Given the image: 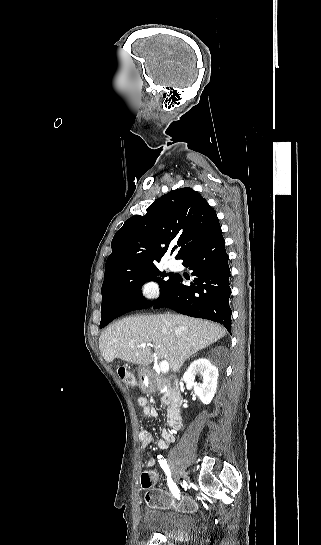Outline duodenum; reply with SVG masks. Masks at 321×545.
Instances as JSON below:
<instances>
[{"label":"duodenum","mask_w":321,"mask_h":545,"mask_svg":"<svg viewBox=\"0 0 321 545\" xmlns=\"http://www.w3.org/2000/svg\"><path fill=\"white\" fill-rule=\"evenodd\" d=\"M149 378L156 384L160 385L161 381L158 378L149 375ZM182 397L179 393L171 391L167 397L168 410V424L172 429H178L181 425V407Z\"/></svg>","instance_id":"duodenum-1"}]
</instances>
